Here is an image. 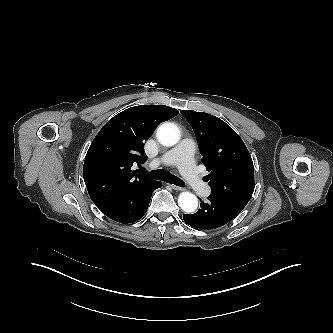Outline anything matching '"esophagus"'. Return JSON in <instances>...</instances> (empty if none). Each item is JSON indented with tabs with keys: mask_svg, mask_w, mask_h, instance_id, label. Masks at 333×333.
Instances as JSON below:
<instances>
[{
	"mask_svg": "<svg viewBox=\"0 0 333 333\" xmlns=\"http://www.w3.org/2000/svg\"><path fill=\"white\" fill-rule=\"evenodd\" d=\"M169 186L174 189V190H177V191H182L184 190L182 187H179V186H176V185H173V184H169Z\"/></svg>",
	"mask_w": 333,
	"mask_h": 333,
	"instance_id": "obj_1",
	"label": "esophagus"
}]
</instances>
